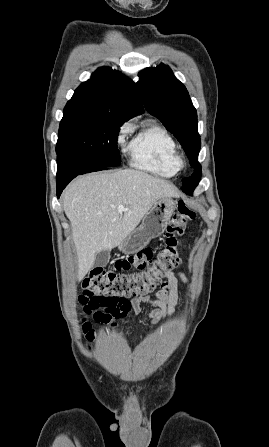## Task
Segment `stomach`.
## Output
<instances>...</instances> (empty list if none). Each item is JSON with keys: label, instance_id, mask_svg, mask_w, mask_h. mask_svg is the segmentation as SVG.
Wrapping results in <instances>:
<instances>
[{"label": "stomach", "instance_id": "stomach-1", "mask_svg": "<svg viewBox=\"0 0 269 447\" xmlns=\"http://www.w3.org/2000/svg\"><path fill=\"white\" fill-rule=\"evenodd\" d=\"M176 208L177 202L172 200V198H160V200H157L150 212H147L146 216H144L142 224L133 229L122 243H119L120 251H123V253H136L139 249H143L152 237H158V235L163 233Z\"/></svg>", "mask_w": 269, "mask_h": 447}]
</instances>
